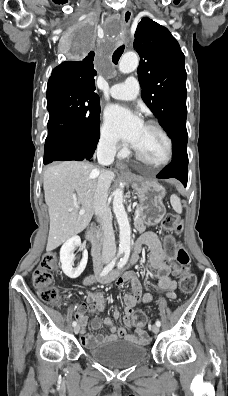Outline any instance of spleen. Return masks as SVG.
<instances>
[{
  "label": "spleen",
  "mask_w": 228,
  "mask_h": 396,
  "mask_svg": "<svg viewBox=\"0 0 228 396\" xmlns=\"http://www.w3.org/2000/svg\"><path fill=\"white\" fill-rule=\"evenodd\" d=\"M171 204H172V207L174 208V210L176 212L182 213L181 201H180V198L177 195H173L171 197Z\"/></svg>",
  "instance_id": "spleen-1"
}]
</instances>
